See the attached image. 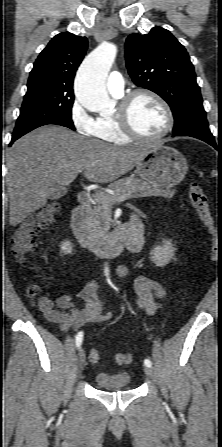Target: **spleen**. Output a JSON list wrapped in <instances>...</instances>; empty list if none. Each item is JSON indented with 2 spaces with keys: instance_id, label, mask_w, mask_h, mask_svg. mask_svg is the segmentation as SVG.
<instances>
[{
  "instance_id": "3e777b00",
  "label": "spleen",
  "mask_w": 222,
  "mask_h": 447,
  "mask_svg": "<svg viewBox=\"0 0 222 447\" xmlns=\"http://www.w3.org/2000/svg\"><path fill=\"white\" fill-rule=\"evenodd\" d=\"M212 174L215 175V172L213 171Z\"/></svg>"
}]
</instances>
